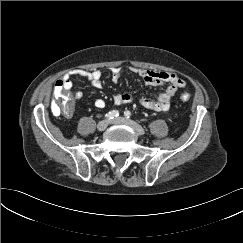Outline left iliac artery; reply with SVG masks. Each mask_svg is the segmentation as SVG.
<instances>
[{
    "instance_id": "44dca946",
    "label": "left iliac artery",
    "mask_w": 243,
    "mask_h": 243,
    "mask_svg": "<svg viewBox=\"0 0 243 243\" xmlns=\"http://www.w3.org/2000/svg\"><path fill=\"white\" fill-rule=\"evenodd\" d=\"M124 115H125L127 118H130V116H131V112H130V111H125V112H124Z\"/></svg>"
}]
</instances>
